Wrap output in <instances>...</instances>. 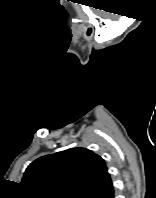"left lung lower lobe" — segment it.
Segmentation results:
<instances>
[{"label":"left lung lower lobe","instance_id":"1","mask_svg":"<svg viewBox=\"0 0 156 198\" xmlns=\"http://www.w3.org/2000/svg\"><path fill=\"white\" fill-rule=\"evenodd\" d=\"M92 198H114L112 181H110L102 190L93 195Z\"/></svg>","mask_w":156,"mask_h":198}]
</instances>
